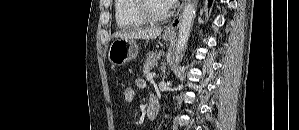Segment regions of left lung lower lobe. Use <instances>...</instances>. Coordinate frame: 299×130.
<instances>
[{"label": "left lung lower lobe", "mask_w": 299, "mask_h": 130, "mask_svg": "<svg viewBox=\"0 0 299 130\" xmlns=\"http://www.w3.org/2000/svg\"><path fill=\"white\" fill-rule=\"evenodd\" d=\"M212 2V0H209V3H211Z\"/></svg>", "instance_id": "obj_1"}]
</instances>
